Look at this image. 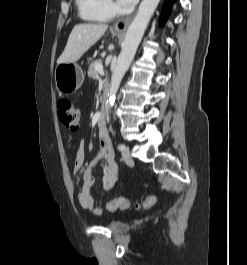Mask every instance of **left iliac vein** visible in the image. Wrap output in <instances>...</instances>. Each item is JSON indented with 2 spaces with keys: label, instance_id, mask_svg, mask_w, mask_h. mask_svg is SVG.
Here are the masks:
<instances>
[{
  "label": "left iliac vein",
  "instance_id": "left-iliac-vein-1",
  "mask_svg": "<svg viewBox=\"0 0 247 265\" xmlns=\"http://www.w3.org/2000/svg\"><path fill=\"white\" fill-rule=\"evenodd\" d=\"M122 158L124 160V162L129 165V166H132L133 165V159L131 157V154H130V151L128 148H125L123 151H122Z\"/></svg>",
  "mask_w": 247,
  "mask_h": 265
}]
</instances>
